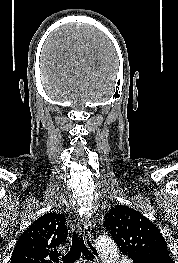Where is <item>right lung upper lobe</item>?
<instances>
[{
    "mask_svg": "<svg viewBox=\"0 0 178 263\" xmlns=\"http://www.w3.org/2000/svg\"><path fill=\"white\" fill-rule=\"evenodd\" d=\"M65 221L64 215L53 212L35 220L19 237L11 263H59L57 247L68 234Z\"/></svg>",
    "mask_w": 178,
    "mask_h": 263,
    "instance_id": "cb5924a9",
    "label": "right lung upper lobe"
}]
</instances>
